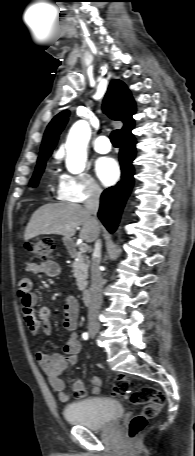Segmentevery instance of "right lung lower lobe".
<instances>
[{
  "mask_svg": "<svg viewBox=\"0 0 195 456\" xmlns=\"http://www.w3.org/2000/svg\"><path fill=\"white\" fill-rule=\"evenodd\" d=\"M136 140L132 133L124 135L120 149L121 181L116 186L106 189L101 196L98 217L110 233H113L119 223L122 209L133 186Z\"/></svg>",
  "mask_w": 195,
  "mask_h": 456,
  "instance_id": "right-lung-lower-lobe-1",
  "label": "right lung lower lobe"
}]
</instances>
